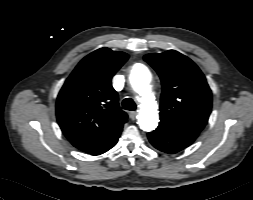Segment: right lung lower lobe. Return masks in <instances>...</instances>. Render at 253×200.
Listing matches in <instances>:
<instances>
[{"mask_svg": "<svg viewBox=\"0 0 253 200\" xmlns=\"http://www.w3.org/2000/svg\"><path fill=\"white\" fill-rule=\"evenodd\" d=\"M115 144H116V143H115ZM115 144H114V145H115ZM114 145H113V146H114ZM113 146H112V147H113ZM112 147H111V148H112ZM111 148H109V149H111ZM109 149H108V150H109ZM108 150H106V151H108ZM106 151H104V152H106ZM104 152H102V153H104ZM102 153H101V154H102ZM98 155H99V154H98Z\"/></svg>", "mask_w": 253, "mask_h": 200, "instance_id": "right-lung-lower-lobe-1", "label": "right lung lower lobe"}]
</instances>
